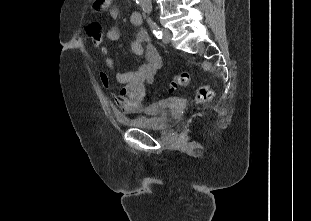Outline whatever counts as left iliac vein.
<instances>
[{
  "mask_svg": "<svg viewBox=\"0 0 311 221\" xmlns=\"http://www.w3.org/2000/svg\"><path fill=\"white\" fill-rule=\"evenodd\" d=\"M162 31H163V37H162L163 43H165V44L170 43V41H171V33H170V31L167 30V29H163Z\"/></svg>",
  "mask_w": 311,
  "mask_h": 221,
  "instance_id": "obj_1",
  "label": "left iliac vein"
}]
</instances>
